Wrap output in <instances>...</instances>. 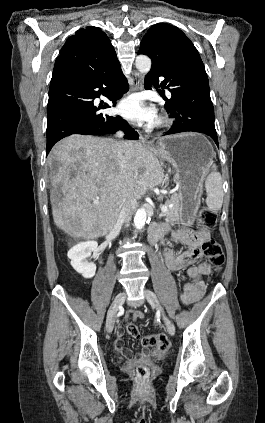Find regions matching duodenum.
I'll list each match as a JSON object with an SVG mask.
<instances>
[{
	"label": "duodenum",
	"mask_w": 265,
	"mask_h": 423,
	"mask_svg": "<svg viewBox=\"0 0 265 423\" xmlns=\"http://www.w3.org/2000/svg\"><path fill=\"white\" fill-rule=\"evenodd\" d=\"M164 235V231L161 230L158 227H151L149 230V237H150V241L151 244L155 245L157 244L158 240Z\"/></svg>",
	"instance_id": "410a0bca"
}]
</instances>
